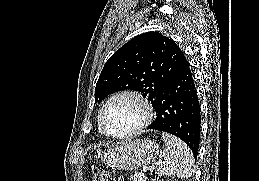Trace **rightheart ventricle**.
I'll return each mask as SVG.
<instances>
[{"instance_id":"right-heart-ventricle-1","label":"right heart ventricle","mask_w":259,"mask_h":181,"mask_svg":"<svg viewBox=\"0 0 259 181\" xmlns=\"http://www.w3.org/2000/svg\"><path fill=\"white\" fill-rule=\"evenodd\" d=\"M99 130H100L101 133H103L102 130H101V128H100V126H99Z\"/></svg>"}]
</instances>
